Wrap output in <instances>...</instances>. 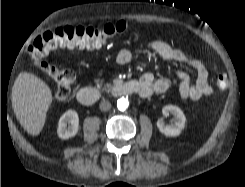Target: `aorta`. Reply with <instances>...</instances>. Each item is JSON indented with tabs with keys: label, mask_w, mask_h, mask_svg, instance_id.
I'll return each mask as SVG.
<instances>
[{
	"label": "aorta",
	"mask_w": 245,
	"mask_h": 187,
	"mask_svg": "<svg viewBox=\"0 0 245 187\" xmlns=\"http://www.w3.org/2000/svg\"><path fill=\"white\" fill-rule=\"evenodd\" d=\"M129 106V101L127 98L121 97L117 100V108L119 111H125Z\"/></svg>",
	"instance_id": "1"
}]
</instances>
